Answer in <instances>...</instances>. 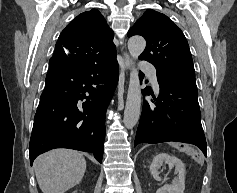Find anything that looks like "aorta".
I'll return each instance as SVG.
<instances>
[{"instance_id": "obj_1", "label": "aorta", "mask_w": 237, "mask_h": 193, "mask_svg": "<svg viewBox=\"0 0 237 193\" xmlns=\"http://www.w3.org/2000/svg\"><path fill=\"white\" fill-rule=\"evenodd\" d=\"M146 47V41L142 36H132L128 40V50L132 60H137ZM141 88L137 69L133 66L130 72L129 87L126 106L124 110V125L133 128L140 117Z\"/></svg>"}]
</instances>
